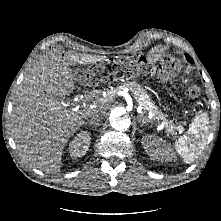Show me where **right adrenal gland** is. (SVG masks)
Here are the masks:
<instances>
[{"mask_svg": "<svg viewBox=\"0 0 221 221\" xmlns=\"http://www.w3.org/2000/svg\"><path fill=\"white\" fill-rule=\"evenodd\" d=\"M86 124H87V123H86ZM88 125L92 126L93 124H88ZM94 125H96V124H94Z\"/></svg>", "mask_w": 221, "mask_h": 221, "instance_id": "right-adrenal-gland-1", "label": "right adrenal gland"}]
</instances>
